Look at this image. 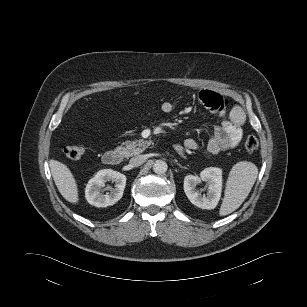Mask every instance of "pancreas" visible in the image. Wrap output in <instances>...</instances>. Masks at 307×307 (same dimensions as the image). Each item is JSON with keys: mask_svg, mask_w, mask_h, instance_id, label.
I'll return each mask as SVG.
<instances>
[{"mask_svg": "<svg viewBox=\"0 0 307 307\" xmlns=\"http://www.w3.org/2000/svg\"><path fill=\"white\" fill-rule=\"evenodd\" d=\"M150 144L151 142L149 141L139 139L134 141H126L117 149L122 153V155L128 158L142 153L148 146H150Z\"/></svg>", "mask_w": 307, "mask_h": 307, "instance_id": "cf45deb5", "label": "pancreas"}]
</instances>
